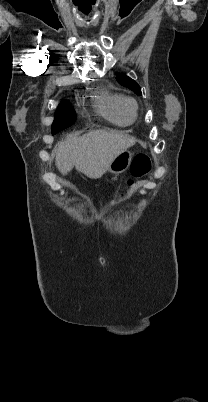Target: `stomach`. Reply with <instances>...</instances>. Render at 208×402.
Instances as JSON below:
<instances>
[{
    "label": "stomach",
    "mask_w": 208,
    "mask_h": 402,
    "mask_svg": "<svg viewBox=\"0 0 208 402\" xmlns=\"http://www.w3.org/2000/svg\"><path fill=\"white\" fill-rule=\"evenodd\" d=\"M131 160H132L131 152H128V150H124V152H121L119 156H116V158H114L107 172H111V174H122V172H125V170L129 168Z\"/></svg>",
    "instance_id": "0dacf381"
}]
</instances>
